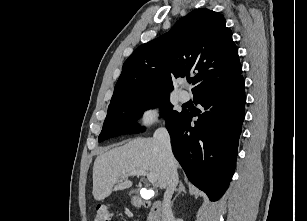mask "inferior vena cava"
Here are the masks:
<instances>
[{
    "mask_svg": "<svg viewBox=\"0 0 307 221\" xmlns=\"http://www.w3.org/2000/svg\"><path fill=\"white\" fill-rule=\"evenodd\" d=\"M153 138L157 140L164 148V152L167 156L169 165V179L163 199L162 221H174L171 209V198L179 182L177 174L178 165L172 153L170 136L168 131L165 128H159L155 131Z\"/></svg>",
    "mask_w": 307,
    "mask_h": 221,
    "instance_id": "1",
    "label": "inferior vena cava"
}]
</instances>
